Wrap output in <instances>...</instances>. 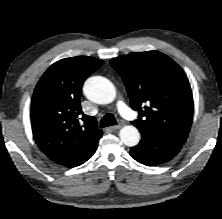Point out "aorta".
Returning <instances> with one entry per match:
<instances>
[{
    "mask_svg": "<svg viewBox=\"0 0 222 219\" xmlns=\"http://www.w3.org/2000/svg\"><path fill=\"white\" fill-rule=\"evenodd\" d=\"M83 92L92 102L98 104L111 103L116 97V90L110 80L101 76H94L87 79ZM121 141L129 147L139 143L140 133L135 126H125L119 133Z\"/></svg>",
    "mask_w": 222,
    "mask_h": 219,
    "instance_id": "762f6f07",
    "label": "aorta"
}]
</instances>
